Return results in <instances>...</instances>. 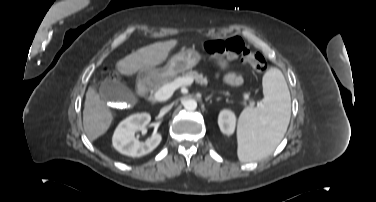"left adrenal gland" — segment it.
Wrapping results in <instances>:
<instances>
[{"label": "left adrenal gland", "mask_w": 376, "mask_h": 202, "mask_svg": "<svg viewBox=\"0 0 376 202\" xmlns=\"http://www.w3.org/2000/svg\"><path fill=\"white\" fill-rule=\"evenodd\" d=\"M205 100H206V102H207V101H210V102H212V100H211V97H210V96H209V97H207V98H206Z\"/></svg>", "instance_id": "1"}]
</instances>
